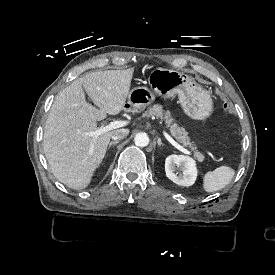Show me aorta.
Listing matches in <instances>:
<instances>
[{"mask_svg":"<svg viewBox=\"0 0 275 275\" xmlns=\"http://www.w3.org/2000/svg\"><path fill=\"white\" fill-rule=\"evenodd\" d=\"M134 142L139 147H146L149 144V137L146 133H137L134 137Z\"/></svg>","mask_w":275,"mask_h":275,"instance_id":"aorta-1","label":"aorta"}]
</instances>
